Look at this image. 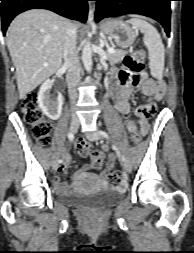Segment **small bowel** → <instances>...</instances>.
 I'll return each mask as SVG.
<instances>
[{
	"mask_svg": "<svg viewBox=\"0 0 194 253\" xmlns=\"http://www.w3.org/2000/svg\"><path fill=\"white\" fill-rule=\"evenodd\" d=\"M137 89L143 96L153 98L154 101L162 99L165 92V85L162 82L148 78L145 74L135 75L126 69L120 70L112 79L109 91L110 95L115 102V108L120 114H128L131 111V96L133 91ZM155 107V104L152 102ZM143 106V105H142ZM139 106L136 110L137 120H128L126 123L129 133L138 132L140 135H146L149 131V119L152 114L143 115L140 113ZM104 150H108L107 146L103 147ZM70 162V156L64 154V163L60 167L61 173H66L68 164ZM116 163V155L109 154L107 158L106 168L101 172L103 177L114 168ZM54 185L60 192H65L68 189L66 182L61 180L59 176L54 178Z\"/></svg>",
	"mask_w": 194,
	"mask_h": 253,
	"instance_id": "c3829d8e",
	"label": "small bowel"
}]
</instances>
